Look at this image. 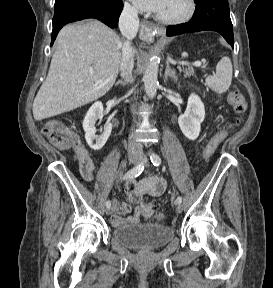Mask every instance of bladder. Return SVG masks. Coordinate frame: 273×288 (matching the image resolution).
I'll use <instances>...</instances> for the list:
<instances>
[{
  "instance_id": "31cf9c89",
  "label": "bladder",
  "mask_w": 273,
  "mask_h": 288,
  "mask_svg": "<svg viewBox=\"0 0 273 288\" xmlns=\"http://www.w3.org/2000/svg\"><path fill=\"white\" fill-rule=\"evenodd\" d=\"M175 232L165 225L130 223L116 226L112 239L121 247L136 251H151L164 247L173 240Z\"/></svg>"
}]
</instances>
